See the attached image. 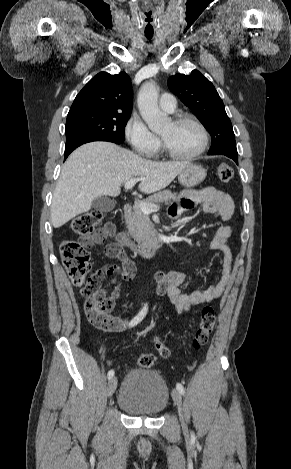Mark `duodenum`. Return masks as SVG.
<instances>
[{"label": "duodenum", "mask_w": 291, "mask_h": 469, "mask_svg": "<svg viewBox=\"0 0 291 469\" xmlns=\"http://www.w3.org/2000/svg\"><path fill=\"white\" fill-rule=\"evenodd\" d=\"M131 213H132V205L129 203L125 204L123 207V214H124L125 219H128ZM122 239H123V244L126 247H128L131 250L137 251L139 254H141L144 257H148V258L153 257L159 251V245L135 244L126 232L122 234Z\"/></svg>", "instance_id": "1"}]
</instances>
